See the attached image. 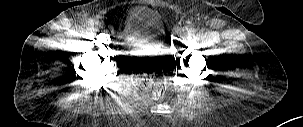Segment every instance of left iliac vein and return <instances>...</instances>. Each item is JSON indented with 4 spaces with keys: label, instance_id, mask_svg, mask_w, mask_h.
Here are the masks:
<instances>
[{
    "label": "left iliac vein",
    "instance_id": "4c4485c4",
    "mask_svg": "<svg viewBox=\"0 0 303 127\" xmlns=\"http://www.w3.org/2000/svg\"><path fill=\"white\" fill-rule=\"evenodd\" d=\"M182 33H183V34H186V33H187V28H183V29H182Z\"/></svg>",
    "mask_w": 303,
    "mask_h": 127
}]
</instances>
